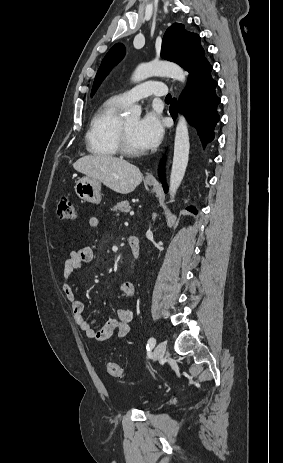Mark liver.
I'll return each mask as SVG.
<instances>
[{"instance_id": "6515ba94", "label": "liver", "mask_w": 283, "mask_h": 463, "mask_svg": "<svg viewBox=\"0 0 283 463\" xmlns=\"http://www.w3.org/2000/svg\"><path fill=\"white\" fill-rule=\"evenodd\" d=\"M73 167L76 171L102 182L120 194L132 192L143 179L138 167L110 155H87L79 158Z\"/></svg>"}]
</instances>
